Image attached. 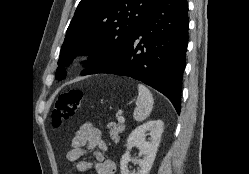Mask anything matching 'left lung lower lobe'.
Masks as SVG:
<instances>
[{
	"mask_svg": "<svg viewBox=\"0 0 249 174\" xmlns=\"http://www.w3.org/2000/svg\"><path fill=\"white\" fill-rule=\"evenodd\" d=\"M188 27L186 0H157L122 56L109 68L94 73L142 81L164 94L179 114Z\"/></svg>",
	"mask_w": 249,
	"mask_h": 174,
	"instance_id": "obj_1",
	"label": "left lung lower lobe"
}]
</instances>
